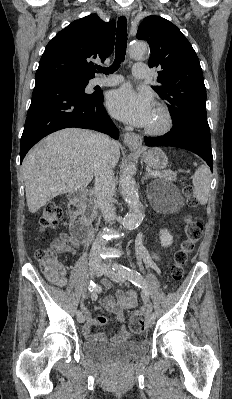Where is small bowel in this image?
Segmentation results:
<instances>
[{
    "label": "small bowel",
    "mask_w": 232,
    "mask_h": 399,
    "mask_svg": "<svg viewBox=\"0 0 232 399\" xmlns=\"http://www.w3.org/2000/svg\"><path fill=\"white\" fill-rule=\"evenodd\" d=\"M81 242H58L55 248L60 252H73L76 249L81 248ZM102 283L107 290H112L113 282L107 278L102 279ZM118 301H115L112 297H106L101 301V304L116 314L119 322L123 321L124 310L134 308L137 304V293L134 289L128 291L125 294L119 290L116 292ZM81 312L86 317V323L80 326V331L85 335L87 343L91 346L98 344V335L93 332L94 326L104 324L105 318L101 315H93L87 306L82 305L80 307ZM131 329L128 326L121 325L116 332L110 333L108 337L112 340H118L126 337L130 333Z\"/></svg>",
    "instance_id": "small-bowel-1"
}]
</instances>
